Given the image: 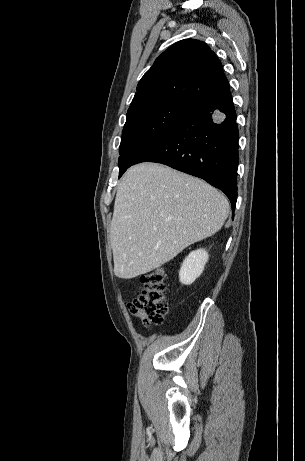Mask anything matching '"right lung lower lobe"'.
Here are the masks:
<instances>
[{"label":"right lung lower lobe","mask_w":305,"mask_h":461,"mask_svg":"<svg viewBox=\"0 0 305 461\" xmlns=\"http://www.w3.org/2000/svg\"><path fill=\"white\" fill-rule=\"evenodd\" d=\"M236 118L227 83L191 105L169 132L131 165L158 162L202 178L227 195L234 211L238 168ZM127 168L119 172V177Z\"/></svg>","instance_id":"98d812e1"}]
</instances>
